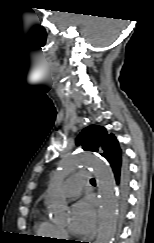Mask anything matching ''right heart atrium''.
Instances as JSON below:
<instances>
[{"mask_svg": "<svg viewBox=\"0 0 154 243\" xmlns=\"http://www.w3.org/2000/svg\"><path fill=\"white\" fill-rule=\"evenodd\" d=\"M62 235H63V236H65V233H64V232H62Z\"/></svg>", "mask_w": 154, "mask_h": 243, "instance_id": "right-heart-atrium-1", "label": "right heart atrium"}]
</instances>
